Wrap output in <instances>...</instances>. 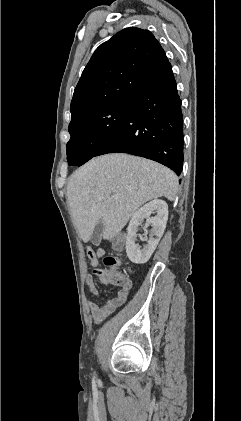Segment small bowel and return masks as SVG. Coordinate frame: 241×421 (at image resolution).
Wrapping results in <instances>:
<instances>
[{
	"mask_svg": "<svg viewBox=\"0 0 241 421\" xmlns=\"http://www.w3.org/2000/svg\"><path fill=\"white\" fill-rule=\"evenodd\" d=\"M87 256L93 267H97L99 264V258L104 255V250L102 249H93L87 248ZM101 282L110 285L113 283L107 282L100 278ZM85 284L88 287L89 291L96 297H99V291L95 284L94 278L91 275L86 276ZM131 281L128 279L127 283L124 285H119L120 289L117 292L116 296L103 304H98L94 301L88 300L86 302L87 308L91 314V317L95 323L102 322L108 315L114 312L118 307L124 304L127 299L129 290L131 288Z\"/></svg>",
	"mask_w": 241,
	"mask_h": 421,
	"instance_id": "obj_1",
	"label": "small bowel"
}]
</instances>
